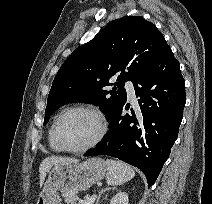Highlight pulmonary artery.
<instances>
[{"label": "pulmonary artery", "instance_id": "1", "mask_svg": "<svg viewBox=\"0 0 212 204\" xmlns=\"http://www.w3.org/2000/svg\"><path fill=\"white\" fill-rule=\"evenodd\" d=\"M125 89L127 91L128 96L133 99L135 97L134 85L131 81H127L125 83Z\"/></svg>", "mask_w": 212, "mask_h": 204}]
</instances>
